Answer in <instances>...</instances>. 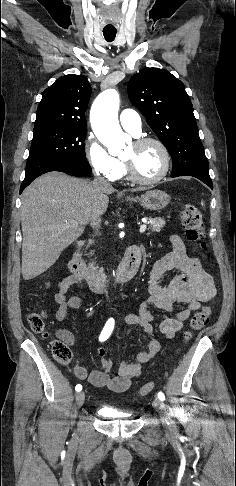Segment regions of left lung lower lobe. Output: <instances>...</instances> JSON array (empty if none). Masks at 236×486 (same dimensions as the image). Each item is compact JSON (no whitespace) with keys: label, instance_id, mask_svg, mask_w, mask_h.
Returning a JSON list of instances; mask_svg holds the SVG:
<instances>
[{"label":"left lung lower lobe","instance_id":"obj_1","mask_svg":"<svg viewBox=\"0 0 236 486\" xmlns=\"http://www.w3.org/2000/svg\"><path fill=\"white\" fill-rule=\"evenodd\" d=\"M186 175L198 178L199 180L204 182L206 185H208L211 189H213V184H212L211 178H204V177L194 175V174H186ZM180 176H183V175H180ZM172 177H177V176H172Z\"/></svg>","mask_w":236,"mask_h":486}]
</instances>
